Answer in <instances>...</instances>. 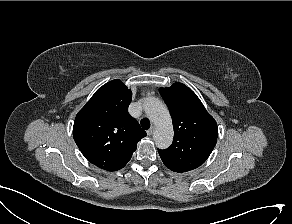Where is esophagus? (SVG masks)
<instances>
[{
    "instance_id": "34e87169",
    "label": "esophagus",
    "mask_w": 292,
    "mask_h": 224,
    "mask_svg": "<svg viewBox=\"0 0 292 224\" xmlns=\"http://www.w3.org/2000/svg\"><path fill=\"white\" fill-rule=\"evenodd\" d=\"M155 128L152 126L149 130H147V135H152L154 132Z\"/></svg>"
}]
</instances>
